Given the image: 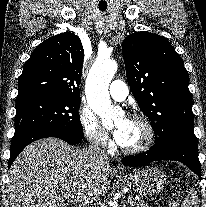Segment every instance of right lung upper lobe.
Wrapping results in <instances>:
<instances>
[{"label":"right lung upper lobe","mask_w":206,"mask_h":207,"mask_svg":"<svg viewBox=\"0 0 206 207\" xmlns=\"http://www.w3.org/2000/svg\"><path fill=\"white\" fill-rule=\"evenodd\" d=\"M83 55L81 40L73 33L45 40L24 65L16 100L34 95L80 98Z\"/></svg>","instance_id":"right-lung-upper-lobe-1"}]
</instances>
